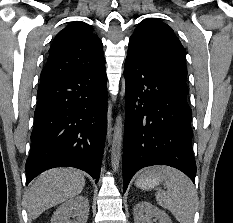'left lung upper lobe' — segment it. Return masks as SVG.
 <instances>
[{
    "label": "left lung upper lobe",
    "mask_w": 233,
    "mask_h": 223,
    "mask_svg": "<svg viewBox=\"0 0 233 223\" xmlns=\"http://www.w3.org/2000/svg\"><path fill=\"white\" fill-rule=\"evenodd\" d=\"M129 49L155 68L186 81V51L164 22L154 18L143 20L130 38Z\"/></svg>",
    "instance_id": "1"
}]
</instances>
